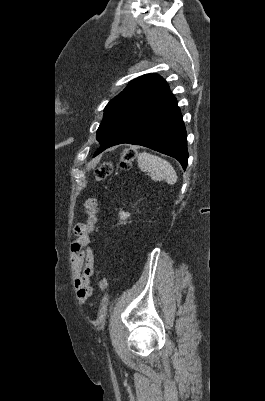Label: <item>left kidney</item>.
<instances>
[{
	"instance_id": "obj_1",
	"label": "left kidney",
	"mask_w": 265,
	"mask_h": 401,
	"mask_svg": "<svg viewBox=\"0 0 265 401\" xmlns=\"http://www.w3.org/2000/svg\"><path fill=\"white\" fill-rule=\"evenodd\" d=\"M119 217L121 221H125V219H128V217H130V213H124V211H120Z\"/></svg>"
}]
</instances>
